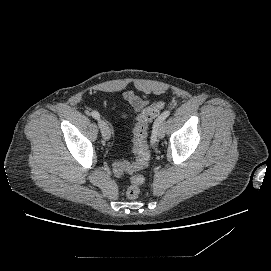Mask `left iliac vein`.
Wrapping results in <instances>:
<instances>
[{"label":"left iliac vein","mask_w":271,"mask_h":271,"mask_svg":"<svg viewBox=\"0 0 271 271\" xmlns=\"http://www.w3.org/2000/svg\"><path fill=\"white\" fill-rule=\"evenodd\" d=\"M165 136V124L162 122L158 128V137L160 139L164 138Z\"/></svg>","instance_id":"4c4485c4"}]
</instances>
